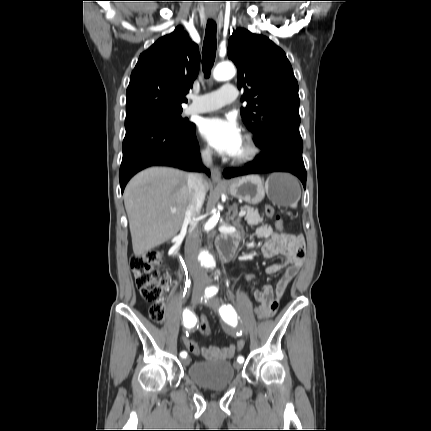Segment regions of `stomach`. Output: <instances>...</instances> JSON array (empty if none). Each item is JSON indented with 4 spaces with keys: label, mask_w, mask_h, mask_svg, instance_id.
I'll list each match as a JSON object with an SVG mask.
<instances>
[{
    "label": "stomach",
    "mask_w": 431,
    "mask_h": 431,
    "mask_svg": "<svg viewBox=\"0 0 431 431\" xmlns=\"http://www.w3.org/2000/svg\"><path fill=\"white\" fill-rule=\"evenodd\" d=\"M229 193L248 204H259L265 193L273 204L278 206H292L297 203L301 190L296 178L289 174H272L265 183L258 175H248L229 182Z\"/></svg>",
    "instance_id": "obj_1"
}]
</instances>
